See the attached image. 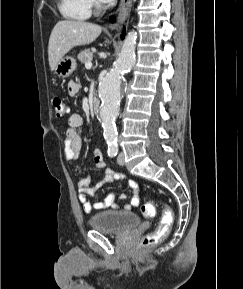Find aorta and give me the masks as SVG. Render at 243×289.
I'll use <instances>...</instances> for the list:
<instances>
[{
	"label": "aorta",
	"mask_w": 243,
	"mask_h": 289,
	"mask_svg": "<svg viewBox=\"0 0 243 289\" xmlns=\"http://www.w3.org/2000/svg\"><path fill=\"white\" fill-rule=\"evenodd\" d=\"M136 39L137 34L135 32L128 33L114 67L99 84L98 93L101 100L99 118L104 129V139L108 145V152L111 153L118 151L115 120L119 115L122 77L135 63Z\"/></svg>",
	"instance_id": "762f6f07"
}]
</instances>
